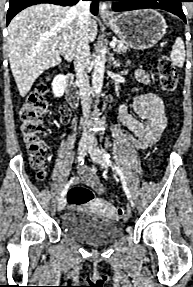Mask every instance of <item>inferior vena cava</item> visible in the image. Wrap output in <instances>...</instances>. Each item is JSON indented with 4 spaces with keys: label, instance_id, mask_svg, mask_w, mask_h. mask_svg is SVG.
Instances as JSON below:
<instances>
[{
    "label": "inferior vena cava",
    "instance_id": "inferior-vena-cava-1",
    "mask_svg": "<svg viewBox=\"0 0 193 287\" xmlns=\"http://www.w3.org/2000/svg\"><path fill=\"white\" fill-rule=\"evenodd\" d=\"M90 4V1L80 0L75 6L70 8V12L73 13L77 18L79 27V40L74 55V68L76 72V83L79 87L81 105L83 109L84 130L82 139L84 140H90L92 138L91 133L86 129V126L89 124L88 112L90 109L91 93L89 77L87 75V68L90 64V47L89 37L87 34V29L91 20Z\"/></svg>",
    "mask_w": 193,
    "mask_h": 287
}]
</instances>
